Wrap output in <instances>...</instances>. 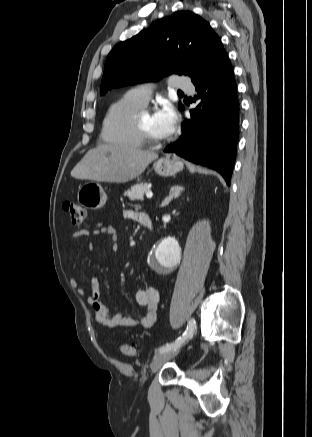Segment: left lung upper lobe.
<instances>
[{"instance_id": "left-lung-upper-lobe-1", "label": "left lung upper lobe", "mask_w": 312, "mask_h": 437, "mask_svg": "<svg viewBox=\"0 0 312 437\" xmlns=\"http://www.w3.org/2000/svg\"><path fill=\"white\" fill-rule=\"evenodd\" d=\"M222 51L221 40L208 22L190 11L175 12L114 46L105 62L100 93L173 73L187 75L195 83Z\"/></svg>"}]
</instances>
